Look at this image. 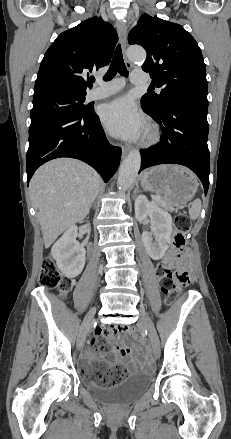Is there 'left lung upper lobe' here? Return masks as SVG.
Listing matches in <instances>:
<instances>
[{
    "instance_id": "obj_1",
    "label": "left lung upper lobe",
    "mask_w": 231,
    "mask_h": 439,
    "mask_svg": "<svg viewBox=\"0 0 231 439\" xmlns=\"http://www.w3.org/2000/svg\"><path fill=\"white\" fill-rule=\"evenodd\" d=\"M129 44L147 51L142 69L161 87L159 94H145L141 105L151 112L183 95L207 98L206 67L201 50L181 25L144 14L128 35Z\"/></svg>"
}]
</instances>
